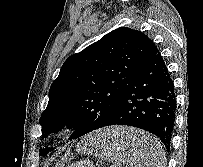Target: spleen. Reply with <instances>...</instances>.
<instances>
[{
	"label": "spleen",
	"mask_w": 203,
	"mask_h": 167,
	"mask_svg": "<svg viewBox=\"0 0 203 167\" xmlns=\"http://www.w3.org/2000/svg\"><path fill=\"white\" fill-rule=\"evenodd\" d=\"M106 137L98 133L90 135L84 140L82 150L86 153L95 154L105 161L114 162L110 167H164L165 153L159 141L153 137L145 140L143 145L136 150V153L130 152L125 143L124 147L109 148L105 146ZM122 149L121 153L116 150Z\"/></svg>",
	"instance_id": "spleen-1"
}]
</instances>
